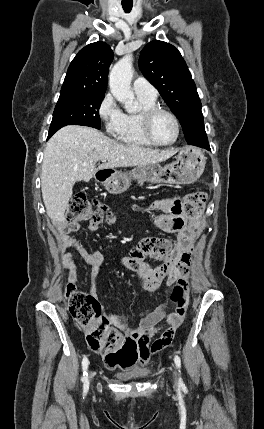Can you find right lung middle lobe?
<instances>
[{"label": "right lung middle lobe", "instance_id": "dd1d6c3e", "mask_svg": "<svg viewBox=\"0 0 264 429\" xmlns=\"http://www.w3.org/2000/svg\"><path fill=\"white\" fill-rule=\"evenodd\" d=\"M104 94L64 92L56 104L48 138L65 125L77 124L100 129L99 108Z\"/></svg>", "mask_w": 264, "mask_h": 429}]
</instances>
